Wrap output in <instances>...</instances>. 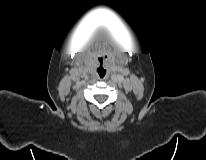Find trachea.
<instances>
[{
  "label": "trachea",
  "mask_w": 206,
  "mask_h": 160,
  "mask_svg": "<svg viewBox=\"0 0 206 160\" xmlns=\"http://www.w3.org/2000/svg\"><path fill=\"white\" fill-rule=\"evenodd\" d=\"M99 74H100L101 77H103V76L105 75V71H103V73H101V72L99 71Z\"/></svg>",
  "instance_id": "trachea-1"
}]
</instances>
